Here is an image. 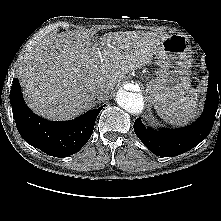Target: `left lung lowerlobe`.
Returning <instances> with one entry per match:
<instances>
[{
    "label": "left lung lower lobe",
    "instance_id": "left-lung-lower-lobe-1",
    "mask_svg": "<svg viewBox=\"0 0 221 221\" xmlns=\"http://www.w3.org/2000/svg\"><path fill=\"white\" fill-rule=\"evenodd\" d=\"M208 93L201 117L193 124L179 129L146 128L140 118L134 123V131L143 144L155 155L172 157L185 153L198 145L210 133L218 104H221V83L209 68Z\"/></svg>",
    "mask_w": 221,
    "mask_h": 221
}]
</instances>
